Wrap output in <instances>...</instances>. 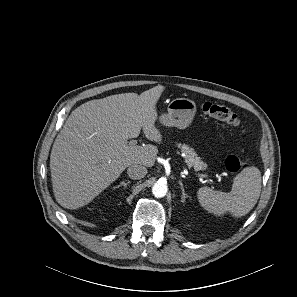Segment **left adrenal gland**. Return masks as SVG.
Segmentation results:
<instances>
[{"label":"left adrenal gland","instance_id":"left-adrenal-gland-1","mask_svg":"<svg viewBox=\"0 0 297 297\" xmlns=\"http://www.w3.org/2000/svg\"><path fill=\"white\" fill-rule=\"evenodd\" d=\"M179 184H180V187H181V190H182L181 201L184 203L185 202V199L188 197V195L185 193V189H184L183 183L181 181H179Z\"/></svg>","mask_w":297,"mask_h":297}]
</instances>
